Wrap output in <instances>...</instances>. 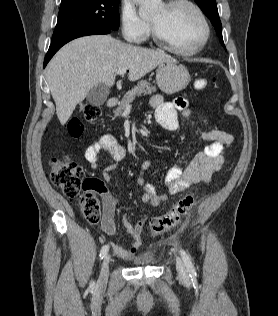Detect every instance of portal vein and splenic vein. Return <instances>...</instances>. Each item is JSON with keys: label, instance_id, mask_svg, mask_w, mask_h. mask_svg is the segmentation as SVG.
I'll use <instances>...</instances> for the list:
<instances>
[{"label": "portal vein and splenic vein", "instance_id": "portal-vein-and-splenic-vein-1", "mask_svg": "<svg viewBox=\"0 0 278 316\" xmlns=\"http://www.w3.org/2000/svg\"><path fill=\"white\" fill-rule=\"evenodd\" d=\"M125 73H126V69H119L117 71V74H119V75H124Z\"/></svg>", "mask_w": 278, "mask_h": 316}]
</instances>
